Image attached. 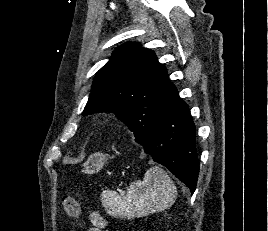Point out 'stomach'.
I'll return each mask as SVG.
<instances>
[{
	"label": "stomach",
	"instance_id": "1",
	"mask_svg": "<svg viewBox=\"0 0 268 231\" xmlns=\"http://www.w3.org/2000/svg\"><path fill=\"white\" fill-rule=\"evenodd\" d=\"M108 156L103 153H94L83 164V172L87 174H93L99 172L103 166L107 163Z\"/></svg>",
	"mask_w": 268,
	"mask_h": 231
}]
</instances>
